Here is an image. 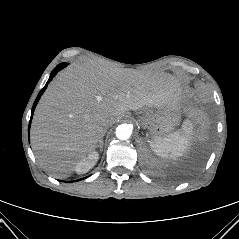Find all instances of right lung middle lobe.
Here are the masks:
<instances>
[{
	"instance_id": "obj_1",
	"label": "right lung middle lobe",
	"mask_w": 239,
	"mask_h": 239,
	"mask_svg": "<svg viewBox=\"0 0 239 239\" xmlns=\"http://www.w3.org/2000/svg\"><path fill=\"white\" fill-rule=\"evenodd\" d=\"M65 66H66V64L62 63V64H59L57 67H58L59 69H62V68H64Z\"/></svg>"
}]
</instances>
